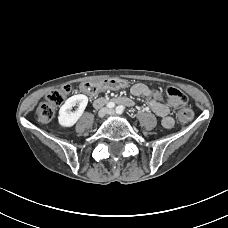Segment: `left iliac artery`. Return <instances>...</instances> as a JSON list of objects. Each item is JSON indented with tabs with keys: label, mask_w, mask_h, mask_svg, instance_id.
Segmentation results:
<instances>
[{
	"label": "left iliac artery",
	"mask_w": 228,
	"mask_h": 228,
	"mask_svg": "<svg viewBox=\"0 0 228 228\" xmlns=\"http://www.w3.org/2000/svg\"><path fill=\"white\" fill-rule=\"evenodd\" d=\"M125 107L122 105H119L116 107V113L117 114H122L124 112Z\"/></svg>",
	"instance_id": "44dca946"
}]
</instances>
